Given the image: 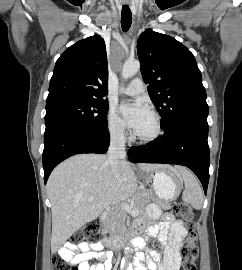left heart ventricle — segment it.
Returning <instances> with one entry per match:
<instances>
[{
	"label": "left heart ventricle",
	"mask_w": 242,
	"mask_h": 270,
	"mask_svg": "<svg viewBox=\"0 0 242 270\" xmlns=\"http://www.w3.org/2000/svg\"><path fill=\"white\" fill-rule=\"evenodd\" d=\"M154 132V120L153 117L150 116L147 121L141 126V128L136 131V135L141 137L150 136Z\"/></svg>",
	"instance_id": "left-heart-ventricle-1"
}]
</instances>
